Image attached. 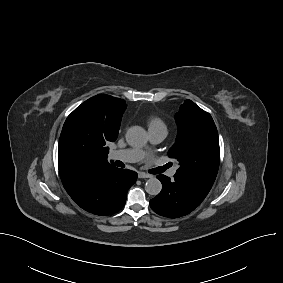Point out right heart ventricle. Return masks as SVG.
Masks as SVG:
<instances>
[{
    "instance_id": "e07e8e85",
    "label": "right heart ventricle",
    "mask_w": 283,
    "mask_h": 283,
    "mask_svg": "<svg viewBox=\"0 0 283 283\" xmlns=\"http://www.w3.org/2000/svg\"><path fill=\"white\" fill-rule=\"evenodd\" d=\"M148 128L149 129H155V128L166 129V125L161 118H159L157 116H151V117L148 118Z\"/></svg>"
}]
</instances>
